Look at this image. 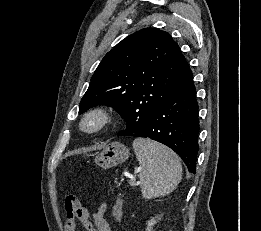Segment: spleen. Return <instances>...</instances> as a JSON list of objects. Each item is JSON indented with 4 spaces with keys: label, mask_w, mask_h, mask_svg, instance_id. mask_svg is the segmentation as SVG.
Listing matches in <instances>:
<instances>
[{
    "label": "spleen",
    "mask_w": 261,
    "mask_h": 231,
    "mask_svg": "<svg viewBox=\"0 0 261 231\" xmlns=\"http://www.w3.org/2000/svg\"><path fill=\"white\" fill-rule=\"evenodd\" d=\"M133 148L140 164L143 198L152 199L171 193L182 178L178 156L166 146L145 138L135 139Z\"/></svg>",
    "instance_id": "1"
}]
</instances>
